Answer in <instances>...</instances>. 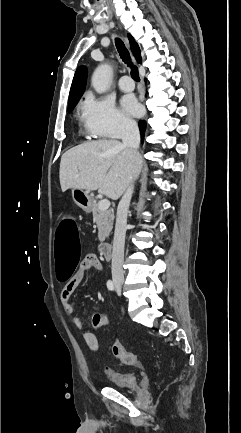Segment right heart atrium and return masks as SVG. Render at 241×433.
Instances as JSON below:
<instances>
[{
  "label": "right heart atrium",
  "instance_id": "1",
  "mask_svg": "<svg viewBox=\"0 0 241 433\" xmlns=\"http://www.w3.org/2000/svg\"><path fill=\"white\" fill-rule=\"evenodd\" d=\"M80 110L84 128L91 137H118L135 130V122L109 98L86 95Z\"/></svg>",
  "mask_w": 241,
  "mask_h": 433
}]
</instances>
